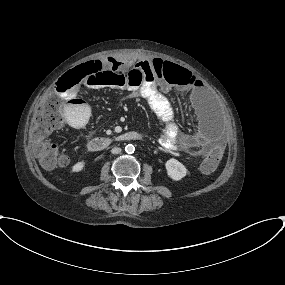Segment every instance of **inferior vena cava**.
I'll list each match as a JSON object with an SVG mask.
<instances>
[{"label": "inferior vena cava", "instance_id": "602c4592", "mask_svg": "<svg viewBox=\"0 0 285 285\" xmlns=\"http://www.w3.org/2000/svg\"><path fill=\"white\" fill-rule=\"evenodd\" d=\"M111 153H112V154H119V153H121V148L114 147V148L111 150Z\"/></svg>", "mask_w": 285, "mask_h": 285}]
</instances>
